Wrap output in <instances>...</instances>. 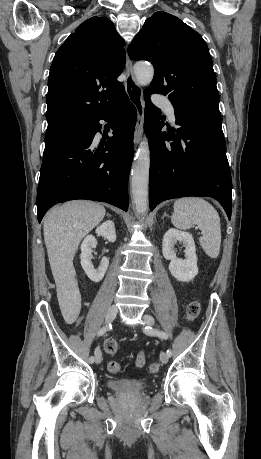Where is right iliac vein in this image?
Here are the masks:
<instances>
[{"label": "right iliac vein", "instance_id": "63e3f726", "mask_svg": "<svg viewBox=\"0 0 261 459\" xmlns=\"http://www.w3.org/2000/svg\"><path fill=\"white\" fill-rule=\"evenodd\" d=\"M117 313H118L117 307L114 305L111 306L106 313V322L107 323L112 322L116 318ZM101 361H102V354H101L100 349L98 348L95 353V362L99 364L101 363Z\"/></svg>", "mask_w": 261, "mask_h": 459}]
</instances>
